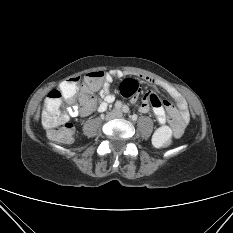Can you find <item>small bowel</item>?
<instances>
[{"mask_svg":"<svg viewBox=\"0 0 233 233\" xmlns=\"http://www.w3.org/2000/svg\"><path fill=\"white\" fill-rule=\"evenodd\" d=\"M124 76V72L120 70H112L105 73L102 85L99 88V97L97 101L89 100L83 95H80L79 106L74 107L71 111L73 116L86 117L90 115L95 109L103 112L107 109L108 104L114 101L115 97L110 92V86L114 79ZM152 86L160 87L166 91L173 99L175 105L164 100L161 101L154 90L149 91L143 98L139 105V110L143 113H147L150 110L155 114L158 123L164 126L166 122L172 127V132L176 137L182 136L184 133L186 124L189 120V112L187 103L181 93L173 86L156 81L154 79L146 78ZM138 100L137 92L131 95L132 103H136Z\"/></svg>","mask_w":233,"mask_h":233,"instance_id":"obj_1","label":"small bowel"}]
</instances>
